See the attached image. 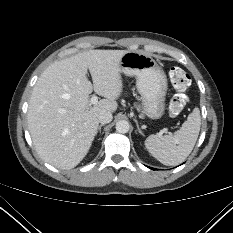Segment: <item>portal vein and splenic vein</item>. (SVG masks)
Listing matches in <instances>:
<instances>
[{"mask_svg":"<svg viewBox=\"0 0 233 233\" xmlns=\"http://www.w3.org/2000/svg\"><path fill=\"white\" fill-rule=\"evenodd\" d=\"M90 102H91V104H96L98 102V97L93 95Z\"/></svg>","mask_w":233,"mask_h":233,"instance_id":"obj_1","label":"portal vein and splenic vein"}]
</instances>
